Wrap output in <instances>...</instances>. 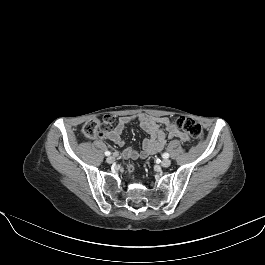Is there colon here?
Masks as SVG:
<instances>
[{
    "label": "colon",
    "instance_id": "colon-1",
    "mask_svg": "<svg viewBox=\"0 0 265 265\" xmlns=\"http://www.w3.org/2000/svg\"><path fill=\"white\" fill-rule=\"evenodd\" d=\"M112 122L113 119L109 115L104 117L102 120L92 119L84 124L83 133L87 137L104 136L109 132ZM173 124L177 128L185 131L192 139L199 142L204 140V132L201 126L192 118L181 116L176 118ZM128 170L132 172L134 170V166L129 165Z\"/></svg>",
    "mask_w": 265,
    "mask_h": 265
}]
</instances>
